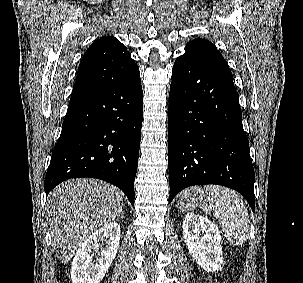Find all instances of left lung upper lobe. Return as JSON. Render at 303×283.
<instances>
[{
  "mask_svg": "<svg viewBox=\"0 0 303 283\" xmlns=\"http://www.w3.org/2000/svg\"><path fill=\"white\" fill-rule=\"evenodd\" d=\"M220 53L215 45L208 40L197 38L189 41L185 47V54Z\"/></svg>",
  "mask_w": 303,
  "mask_h": 283,
  "instance_id": "left-lung-upper-lobe-1",
  "label": "left lung upper lobe"
}]
</instances>
